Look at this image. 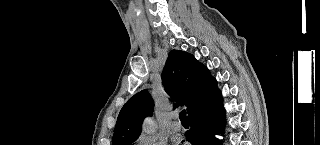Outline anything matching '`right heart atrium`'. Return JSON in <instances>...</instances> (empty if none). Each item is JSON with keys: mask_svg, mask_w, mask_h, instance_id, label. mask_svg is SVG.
Segmentation results:
<instances>
[{"mask_svg": "<svg viewBox=\"0 0 320 145\" xmlns=\"http://www.w3.org/2000/svg\"><path fill=\"white\" fill-rule=\"evenodd\" d=\"M138 145H165L164 140L153 135L142 134L137 139Z\"/></svg>", "mask_w": 320, "mask_h": 145, "instance_id": "1", "label": "right heart atrium"}]
</instances>
